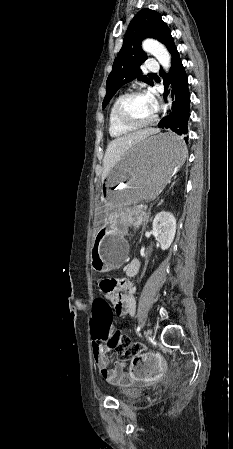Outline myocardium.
Instances as JSON below:
<instances>
[{
  "label": "myocardium",
  "instance_id": "f54148a6",
  "mask_svg": "<svg viewBox=\"0 0 233 449\" xmlns=\"http://www.w3.org/2000/svg\"><path fill=\"white\" fill-rule=\"evenodd\" d=\"M145 94L146 93L142 90H133V91H130V92H127V93L121 95V97L117 100L115 107H114V116H115L116 121L121 126L128 128V129L135 130V129L149 127L156 121V119H157V109L156 108H155V112H154L153 116L145 122H132L129 119H127L122 113V107L128 99H130L134 96L145 95Z\"/></svg>",
  "mask_w": 233,
  "mask_h": 449
}]
</instances>
